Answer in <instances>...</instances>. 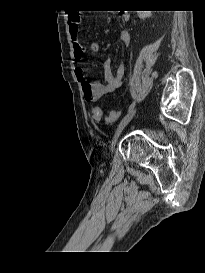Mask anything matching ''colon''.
Here are the masks:
<instances>
[{"label": "colon", "instance_id": "5ec220e1", "mask_svg": "<svg viewBox=\"0 0 205 273\" xmlns=\"http://www.w3.org/2000/svg\"><path fill=\"white\" fill-rule=\"evenodd\" d=\"M91 114L95 122H102L104 120L107 123L115 122L121 116V112L119 110H114V111H111L109 115L104 119L102 111L99 107H93Z\"/></svg>", "mask_w": 205, "mask_h": 273}]
</instances>
